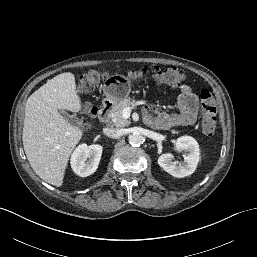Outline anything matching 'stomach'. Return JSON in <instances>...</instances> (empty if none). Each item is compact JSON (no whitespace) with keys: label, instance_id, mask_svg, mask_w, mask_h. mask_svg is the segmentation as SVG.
<instances>
[{"label":"stomach","instance_id":"1","mask_svg":"<svg viewBox=\"0 0 257 257\" xmlns=\"http://www.w3.org/2000/svg\"><path fill=\"white\" fill-rule=\"evenodd\" d=\"M130 93V84L127 81L114 82L109 80L103 87L105 99L104 104L115 105L117 102L125 99Z\"/></svg>","mask_w":257,"mask_h":257}]
</instances>
